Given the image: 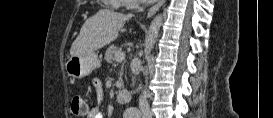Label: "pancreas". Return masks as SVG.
<instances>
[{
    "label": "pancreas",
    "mask_w": 273,
    "mask_h": 118,
    "mask_svg": "<svg viewBox=\"0 0 273 118\" xmlns=\"http://www.w3.org/2000/svg\"><path fill=\"white\" fill-rule=\"evenodd\" d=\"M120 51H121V49H120L119 47H116V46H113V45L110 46V47L108 48V50L106 51V53H105V57H104L105 60H106L108 63H113L114 60H115V58H114L115 54H116L117 52H120ZM122 71H123V66L121 67V72H120L119 81H118L117 84H116V86H117L118 89L123 88Z\"/></svg>",
    "instance_id": "obj_1"
}]
</instances>
